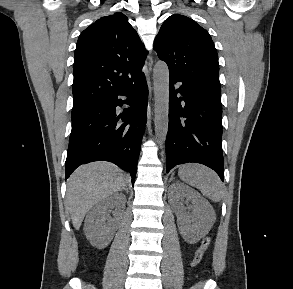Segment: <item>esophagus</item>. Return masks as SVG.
<instances>
[{
	"instance_id": "34e87169",
	"label": "esophagus",
	"mask_w": 293,
	"mask_h": 289,
	"mask_svg": "<svg viewBox=\"0 0 293 289\" xmlns=\"http://www.w3.org/2000/svg\"><path fill=\"white\" fill-rule=\"evenodd\" d=\"M149 70L151 71V69H152V58L150 57V59H149Z\"/></svg>"
}]
</instances>
